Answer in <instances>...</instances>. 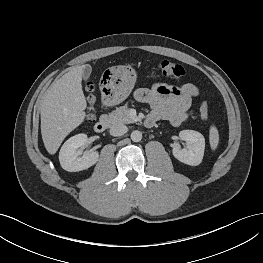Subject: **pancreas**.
I'll list each match as a JSON object with an SVG mask.
<instances>
[{
	"mask_svg": "<svg viewBox=\"0 0 263 263\" xmlns=\"http://www.w3.org/2000/svg\"><path fill=\"white\" fill-rule=\"evenodd\" d=\"M107 118L112 126L116 124H130L136 121L130 116L129 108L126 105L116 108V110L107 115Z\"/></svg>",
	"mask_w": 263,
	"mask_h": 263,
	"instance_id": "cf45deb5",
	"label": "pancreas"
}]
</instances>
